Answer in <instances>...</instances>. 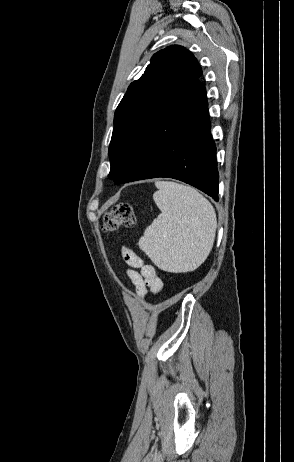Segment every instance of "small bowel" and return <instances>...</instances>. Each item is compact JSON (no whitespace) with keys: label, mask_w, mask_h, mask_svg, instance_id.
<instances>
[{"label":"small bowel","mask_w":294,"mask_h":462,"mask_svg":"<svg viewBox=\"0 0 294 462\" xmlns=\"http://www.w3.org/2000/svg\"><path fill=\"white\" fill-rule=\"evenodd\" d=\"M122 256L129 266L127 274L140 298H145L149 293L157 294L161 290L162 281L153 266L145 265L141 258L127 247L122 248Z\"/></svg>","instance_id":"small-bowel-1"}]
</instances>
